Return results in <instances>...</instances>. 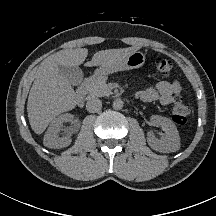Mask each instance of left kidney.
Returning <instances> with one entry per match:
<instances>
[{
	"label": "left kidney",
	"instance_id": "obj_1",
	"mask_svg": "<svg viewBox=\"0 0 216 216\" xmlns=\"http://www.w3.org/2000/svg\"><path fill=\"white\" fill-rule=\"evenodd\" d=\"M151 122L156 126H161L165 131L164 137L159 140L154 135L147 137L148 145L159 152H175L180 148V137L175 124L168 118L159 115H152Z\"/></svg>",
	"mask_w": 216,
	"mask_h": 216
}]
</instances>
